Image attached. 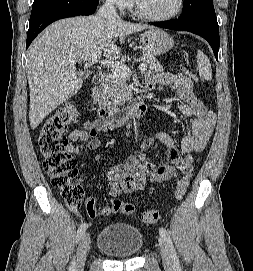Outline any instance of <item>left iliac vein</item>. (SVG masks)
Returning <instances> with one entry per match:
<instances>
[{"label":"left iliac vein","mask_w":253,"mask_h":271,"mask_svg":"<svg viewBox=\"0 0 253 271\" xmlns=\"http://www.w3.org/2000/svg\"><path fill=\"white\" fill-rule=\"evenodd\" d=\"M159 247L165 268L171 269L173 266L172 256L169 247L163 238H159Z\"/></svg>","instance_id":"left-iliac-vein-1"}]
</instances>
